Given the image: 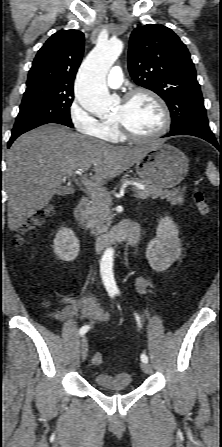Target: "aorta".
<instances>
[{
	"instance_id": "1",
	"label": "aorta",
	"mask_w": 222,
	"mask_h": 447,
	"mask_svg": "<svg viewBox=\"0 0 222 447\" xmlns=\"http://www.w3.org/2000/svg\"><path fill=\"white\" fill-rule=\"evenodd\" d=\"M122 50L123 43L117 38L98 42L83 61L77 75L75 96L79 104L88 112L102 116L112 110L114 100L108 92L105 78ZM113 255L114 250L108 248L103 258L112 264ZM104 279L108 282L114 281L111 270L106 272Z\"/></svg>"
}]
</instances>
